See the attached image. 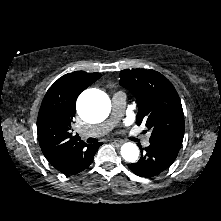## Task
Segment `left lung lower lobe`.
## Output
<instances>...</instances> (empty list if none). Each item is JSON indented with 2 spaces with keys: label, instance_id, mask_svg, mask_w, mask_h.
I'll return each instance as SVG.
<instances>
[{
  "label": "left lung lower lobe",
  "instance_id": "1",
  "mask_svg": "<svg viewBox=\"0 0 221 221\" xmlns=\"http://www.w3.org/2000/svg\"><path fill=\"white\" fill-rule=\"evenodd\" d=\"M181 146L163 141H150V145L141 149V158L137 163L129 164L131 171L145 178L156 176L165 170L176 159Z\"/></svg>",
  "mask_w": 221,
  "mask_h": 221
}]
</instances>
